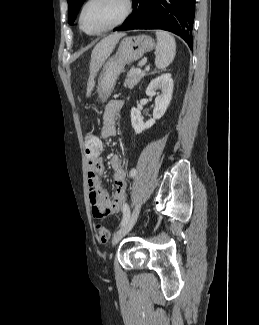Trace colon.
I'll return each instance as SVG.
<instances>
[{
    "mask_svg": "<svg viewBox=\"0 0 259 325\" xmlns=\"http://www.w3.org/2000/svg\"><path fill=\"white\" fill-rule=\"evenodd\" d=\"M103 144L102 138H97L95 134L88 133L84 138V146L86 152H93L95 150H101ZM96 238L101 243H107L110 239L109 230L102 224L96 226Z\"/></svg>",
    "mask_w": 259,
    "mask_h": 325,
    "instance_id": "5ec220e1",
    "label": "colon"
}]
</instances>
